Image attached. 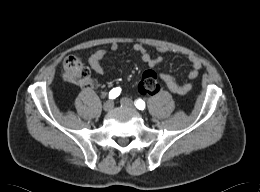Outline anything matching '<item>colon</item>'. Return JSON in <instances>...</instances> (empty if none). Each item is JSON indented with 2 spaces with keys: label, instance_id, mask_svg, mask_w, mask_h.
Masks as SVG:
<instances>
[{
  "label": "colon",
  "instance_id": "5ec220e1",
  "mask_svg": "<svg viewBox=\"0 0 260 192\" xmlns=\"http://www.w3.org/2000/svg\"><path fill=\"white\" fill-rule=\"evenodd\" d=\"M64 78L65 80L76 83L81 87L89 88L92 86L90 71L76 57H69L65 60Z\"/></svg>",
  "mask_w": 260,
  "mask_h": 192
}]
</instances>
